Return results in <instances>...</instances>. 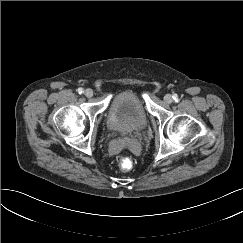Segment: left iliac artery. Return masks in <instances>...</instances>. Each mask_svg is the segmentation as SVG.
Returning a JSON list of instances; mask_svg holds the SVG:
<instances>
[{
    "mask_svg": "<svg viewBox=\"0 0 243 243\" xmlns=\"http://www.w3.org/2000/svg\"><path fill=\"white\" fill-rule=\"evenodd\" d=\"M173 99L177 102L178 101V96L177 95H174L173 96Z\"/></svg>",
    "mask_w": 243,
    "mask_h": 243,
    "instance_id": "obj_1",
    "label": "left iliac artery"
}]
</instances>
